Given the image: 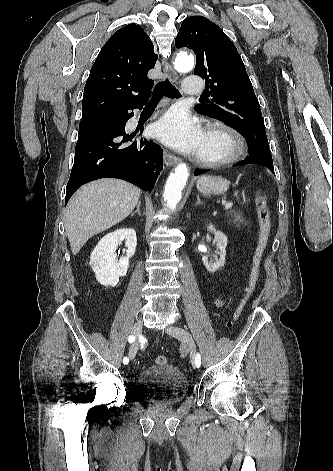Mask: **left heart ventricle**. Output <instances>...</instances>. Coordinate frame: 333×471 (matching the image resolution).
<instances>
[{"label":"left heart ventricle","instance_id":"obj_1","mask_svg":"<svg viewBox=\"0 0 333 471\" xmlns=\"http://www.w3.org/2000/svg\"><path fill=\"white\" fill-rule=\"evenodd\" d=\"M228 150L227 140L218 133L203 134L200 152L207 156H220Z\"/></svg>","mask_w":333,"mask_h":471}]
</instances>
